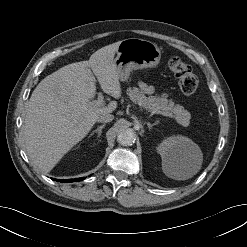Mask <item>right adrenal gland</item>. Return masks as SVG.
I'll list each match as a JSON object with an SVG mask.
<instances>
[{
  "instance_id": "obj_1",
  "label": "right adrenal gland",
  "mask_w": 247,
  "mask_h": 247,
  "mask_svg": "<svg viewBox=\"0 0 247 247\" xmlns=\"http://www.w3.org/2000/svg\"><path fill=\"white\" fill-rule=\"evenodd\" d=\"M105 126H106V125L103 124V125L97 127V129H95L94 131L91 132V134L89 135V137L92 136L94 133H98V137H100V135L102 134V129H103Z\"/></svg>"
}]
</instances>
